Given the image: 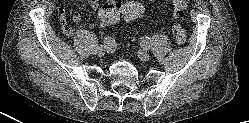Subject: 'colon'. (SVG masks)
Returning <instances> with one entry per match:
<instances>
[{"label":"colon","mask_w":249,"mask_h":123,"mask_svg":"<svg viewBox=\"0 0 249 123\" xmlns=\"http://www.w3.org/2000/svg\"><path fill=\"white\" fill-rule=\"evenodd\" d=\"M173 3V19L172 34L175 41L179 45H184L187 41L185 28L181 24L184 18L188 0H172ZM145 9L144 6L137 1L130 2H112L106 3L99 10V19L104 25L114 24L123 17L127 21H133L139 18Z\"/></svg>","instance_id":"1"}]
</instances>
